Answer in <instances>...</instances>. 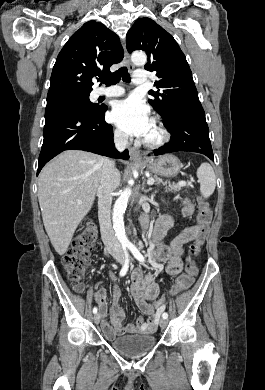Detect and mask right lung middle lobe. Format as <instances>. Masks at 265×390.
<instances>
[{
  "instance_id": "obj_1",
  "label": "right lung middle lobe",
  "mask_w": 265,
  "mask_h": 390,
  "mask_svg": "<svg viewBox=\"0 0 265 390\" xmlns=\"http://www.w3.org/2000/svg\"><path fill=\"white\" fill-rule=\"evenodd\" d=\"M63 105L78 106L89 111L97 110L98 108H100V106H98L97 104H93L90 102L89 94H75L52 100H47L46 107Z\"/></svg>"
}]
</instances>
